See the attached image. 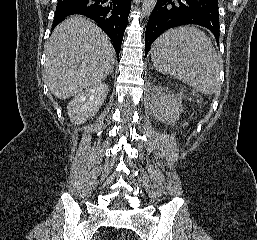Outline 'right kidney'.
Listing matches in <instances>:
<instances>
[{"label": "right kidney", "mask_w": 257, "mask_h": 240, "mask_svg": "<svg viewBox=\"0 0 257 240\" xmlns=\"http://www.w3.org/2000/svg\"><path fill=\"white\" fill-rule=\"evenodd\" d=\"M108 91V85L101 83L78 93L67 106V113L70 120L75 124H82L87 119L94 117L104 103Z\"/></svg>", "instance_id": "1"}]
</instances>
